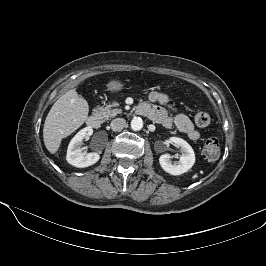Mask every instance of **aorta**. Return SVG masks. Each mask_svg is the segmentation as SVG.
<instances>
[{
    "label": "aorta",
    "instance_id": "obj_1",
    "mask_svg": "<svg viewBox=\"0 0 266 266\" xmlns=\"http://www.w3.org/2000/svg\"><path fill=\"white\" fill-rule=\"evenodd\" d=\"M143 127V121L141 118L139 117H135L132 119L131 121V128L134 130V131H139L141 130Z\"/></svg>",
    "mask_w": 266,
    "mask_h": 266
}]
</instances>
